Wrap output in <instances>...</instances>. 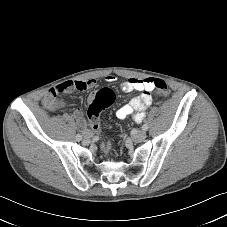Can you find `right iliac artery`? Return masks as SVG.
Returning a JSON list of instances; mask_svg holds the SVG:
<instances>
[{"mask_svg": "<svg viewBox=\"0 0 227 227\" xmlns=\"http://www.w3.org/2000/svg\"><path fill=\"white\" fill-rule=\"evenodd\" d=\"M76 140H77V141L82 140V136H81L80 134H77V135H76Z\"/></svg>", "mask_w": 227, "mask_h": 227, "instance_id": "right-iliac-artery-1", "label": "right iliac artery"}]
</instances>
